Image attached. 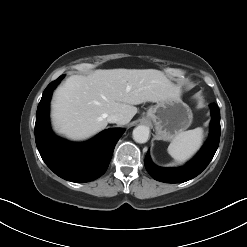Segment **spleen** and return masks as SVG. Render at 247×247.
<instances>
[{
    "label": "spleen",
    "instance_id": "1",
    "mask_svg": "<svg viewBox=\"0 0 247 247\" xmlns=\"http://www.w3.org/2000/svg\"><path fill=\"white\" fill-rule=\"evenodd\" d=\"M203 129L201 127L178 133L168 146V153L178 162H185L201 147Z\"/></svg>",
    "mask_w": 247,
    "mask_h": 247
}]
</instances>
